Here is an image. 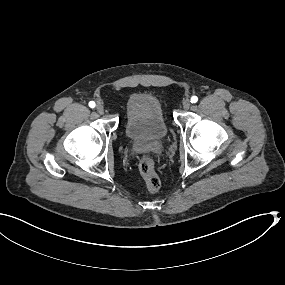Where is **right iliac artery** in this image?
<instances>
[{"label":"right iliac artery","mask_w":285,"mask_h":285,"mask_svg":"<svg viewBox=\"0 0 285 285\" xmlns=\"http://www.w3.org/2000/svg\"><path fill=\"white\" fill-rule=\"evenodd\" d=\"M89 106H90L91 108H94V107L96 106V104H95L94 101H90V102H89Z\"/></svg>","instance_id":"right-iliac-artery-1"}]
</instances>
